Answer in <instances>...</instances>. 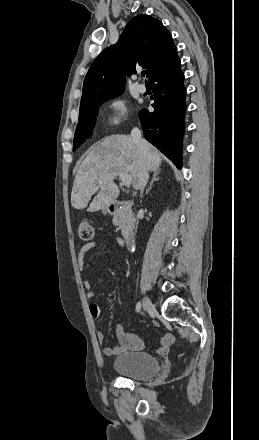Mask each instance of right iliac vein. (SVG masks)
<instances>
[{
	"label": "right iliac vein",
	"mask_w": 259,
	"mask_h": 440,
	"mask_svg": "<svg viewBox=\"0 0 259 440\" xmlns=\"http://www.w3.org/2000/svg\"><path fill=\"white\" fill-rule=\"evenodd\" d=\"M152 307H153V305H152V302H151L150 298L148 296H146L144 298V301H143V309H144V311L148 312V311H150L152 309Z\"/></svg>",
	"instance_id": "obj_1"
}]
</instances>
